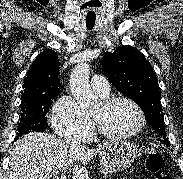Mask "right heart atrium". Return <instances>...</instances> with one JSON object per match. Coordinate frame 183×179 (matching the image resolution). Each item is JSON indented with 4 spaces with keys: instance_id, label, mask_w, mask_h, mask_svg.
<instances>
[{
    "instance_id": "1",
    "label": "right heart atrium",
    "mask_w": 183,
    "mask_h": 179,
    "mask_svg": "<svg viewBox=\"0 0 183 179\" xmlns=\"http://www.w3.org/2000/svg\"><path fill=\"white\" fill-rule=\"evenodd\" d=\"M52 127L63 138H85L93 131V122L69 95L61 96L53 106Z\"/></svg>"
}]
</instances>
